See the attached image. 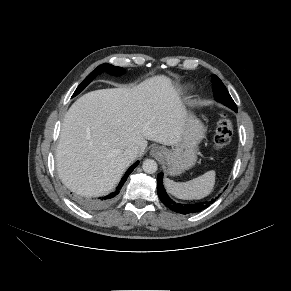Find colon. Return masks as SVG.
Wrapping results in <instances>:
<instances>
[{"label":"colon","instance_id":"1","mask_svg":"<svg viewBox=\"0 0 291 291\" xmlns=\"http://www.w3.org/2000/svg\"><path fill=\"white\" fill-rule=\"evenodd\" d=\"M232 131L233 125L231 119L225 113H222L213 138L214 148L221 150L227 147L231 141Z\"/></svg>","mask_w":291,"mask_h":291}]
</instances>
